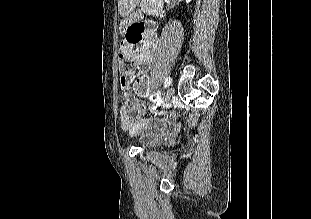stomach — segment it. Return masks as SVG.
<instances>
[{
    "instance_id": "stomach-1",
    "label": "stomach",
    "mask_w": 311,
    "mask_h": 219,
    "mask_svg": "<svg viewBox=\"0 0 311 219\" xmlns=\"http://www.w3.org/2000/svg\"><path fill=\"white\" fill-rule=\"evenodd\" d=\"M138 2H139V0H132L131 1V4H132L131 10L126 15L123 16L124 17L123 23L125 25H129L130 23L136 21L140 17L139 13L133 11L134 7L136 6V4Z\"/></svg>"
}]
</instances>
